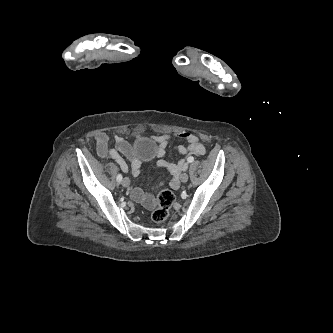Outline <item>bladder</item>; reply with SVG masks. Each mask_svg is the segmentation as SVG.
Masks as SVG:
<instances>
[{"label": "bladder", "instance_id": "31cf9c89", "mask_svg": "<svg viewBox=\"0 0 333 333\" xmlns=\"http://www.w3.org/2000/svg\"><path fill=\"white\" fill-rule=\"evenodd\" d=\"M157 143L152 138L140 137L135 142V151L142 160H150L157 153Z\"/></svg>", "mask_w": 333, "mask_h": 333}]
</instances>
